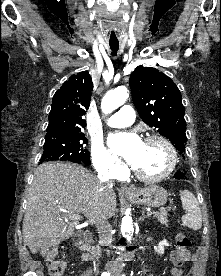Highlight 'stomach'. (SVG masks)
<instances>
[{
    "instance_id": "stomach-1",
    "label": "stomach",
    "mask_w": 221,
    "mask_h": 276,
    "mask_svg": "<svg viewBox=\"0 0 221 276\" xmlns=\"http://www.w3.org/2000/svg\"><path fill=\"white\" fill-rule=\"evenodd\" d=\"M127 199L139 205L160 207L167 202V191L158 185H149L138 189L134 194L126 195Z\"/></svg>"
}]
</instances>
